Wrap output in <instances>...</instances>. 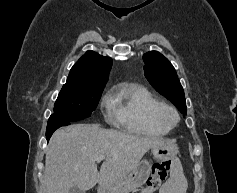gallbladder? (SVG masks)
I'll return each mask as SVG.
<instances>
[{"instance_id": "obj_1", "label": "gallbladder", "mask_w": 237, "mask_h": 193, "mask_svg": "<svg viewBox=\"0 0 237 193\" xmlns=\"http://www.w3.org/2000/svg\"><path fill=\"white\" fill-rule=\"evenodd\" d=\"M68 193H85V191L81 190L77 186H73L72 188H70Z\"/></svg>"}]
</instances>
